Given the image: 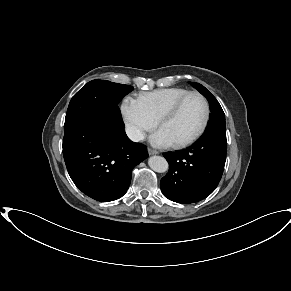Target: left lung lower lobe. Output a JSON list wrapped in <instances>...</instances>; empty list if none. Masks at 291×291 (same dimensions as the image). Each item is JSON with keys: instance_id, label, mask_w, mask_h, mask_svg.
I'll return each mask as SVG.
<instances>
[{"instance_id": "left-lung-lower-lobe-1", "label": "left lung lower lobe", "mask_w": 291, "mask_h": 291, "mask_svg": "<svg viewBox=\"0 0 291 291\" xmlns=\"http://www.w3.org/2000/svg\"><path fill=\"white\" fill-rule=\"evenodd\" d=\"M226 147V130H210L189 148L164 153L169 171L160 182L162 193L182 204L208 197L222 177Z\"/></svg>"}]
</instances>
